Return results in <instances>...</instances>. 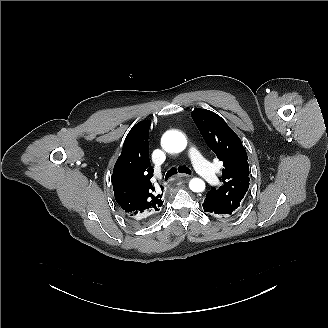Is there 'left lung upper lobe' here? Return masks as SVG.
Instances as JSON below:
<instances>
[{"label":"left lung upper lobe","mask_w":328,"mask_h":328,"mask_svg":"<svg viewBox=\"0 0 328 328\" xmlns=\"http://www.w3.org/2000/svg\"><path fill=\"white\" fill-rule=\"evenodd\" d=\"M192 118L210 149L223 161V185L211 187L206 199L218 208L232 214L242 202L249 187L248 156L240 138L216 113L196 109Z\"/></svg>","instance_id":"left-lung-upper-lobe-1"}]
</instances>
